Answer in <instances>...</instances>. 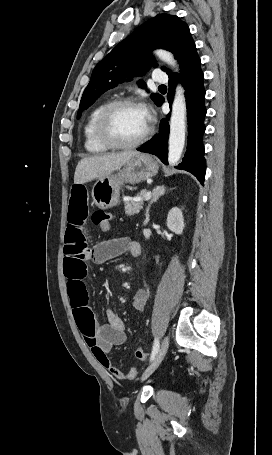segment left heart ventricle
Here are the masks:
<instances>
[{
    "mask_svg": "<svg viewBox=\"0 0 272 455\" xmlns=\"http://www.w3.org/2000/svg\"><path fill=\"white\" fill-rule=\"evenodd\" d=\"M148 120L140 107L123 106L110 116L108 128L119 142L129 143L137 140L145 131Z\"/></svg>",
    "mask_w": 272,
    "mask_h": 455,
    "instance_id": "obj_1",
    "label": "left heart ventricle"
}]
</instances>
